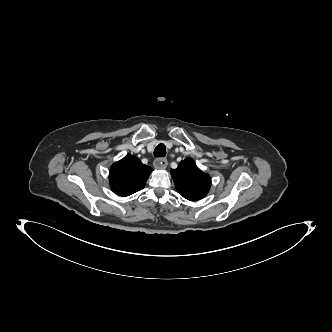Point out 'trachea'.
Instances as JSON below:
<instances>
[{"mask_svg":"<svg viewBox=\"0 0 332 332\" xmlns=\"http://www.w3.org/2000/svg\"><path fill=\"white\" fill-rule=\"evenodd\" d=\"M155 157H165L166 156V147L164 144H159L154 150Z\"/></svg>","mask_w":332,"mask_h":332,"instance_id":"3493384b","label":"trachea"}]
</instances>
